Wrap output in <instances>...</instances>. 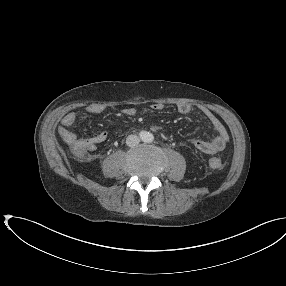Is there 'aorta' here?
Masks as SVG:
<instances>
[{"label":"aorta","instance_id":"aorta-1","mask_svg":"<svg viewBox=\"0 0 286 286\" xmlns=\"http://www.w3.org/2000/svg\"><path fill=\"white\" fill-rule=\"evenodd\" d=\"M153 140V135L151 133H146L143 137L144 142H151Z\"/></svg>","mask_w":286,"mask_h":286}]
</instances>
